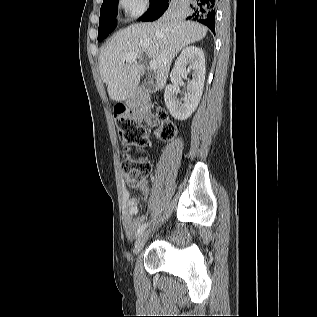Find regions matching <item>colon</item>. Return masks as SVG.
<instances>
[{
    "label": "colon",
    "instance_id": "5ec220e1",
    "mask_svg": "<svg viewBox=\"0 0 317 317\" xmlns=\"http://www.w3.org/2000/svg\"><path fill=\"white\" fill-rule=\"evenodd\" d=\"M149 115L157 123L156 134L159 138L167 140L176 133L174 124L169 120L165 110L149 105ZM116 126L122 142L127 147H140L147 142V132L140 120L127 114L122 105L117 106L115 113ZM127 181L131 184L144 179L151 170L150 163L143 158L126 153L121 162Z\"/></svg>",
    "mask_w": 317,
    "mask_h": 317
}]
</instances>
